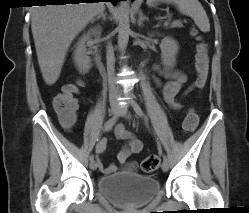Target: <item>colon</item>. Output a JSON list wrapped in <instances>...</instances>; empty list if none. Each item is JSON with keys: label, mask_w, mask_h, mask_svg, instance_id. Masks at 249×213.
<instances>
[{"label": "colon", "mask_w": 249, "mask_h": 213, "mask_svg": "<svg viewBox=\"0 0 249 213\" xmlns=\"http://www.w3.org/2000/svg\"><path fill=\"white\" fill-rule=\"evenodd\" d=\"M200 40L201 38L198 37ZM208 46L204 41H200L196 54V80L197 88H202L206 82L208 75ZM79 93L78 84L64 85L62 92L57 94L53 99V107L61 120L73 124L75 122V114L78 109L76 96ZM199 117L195 110L190 109L186 113L182 128L185 132L193 131L198 125ZM160 165V159L156 155L146 157L142 162V170L146 173L154 172Z\"/></svg>", "instance_id": "1"}]
</instances>
